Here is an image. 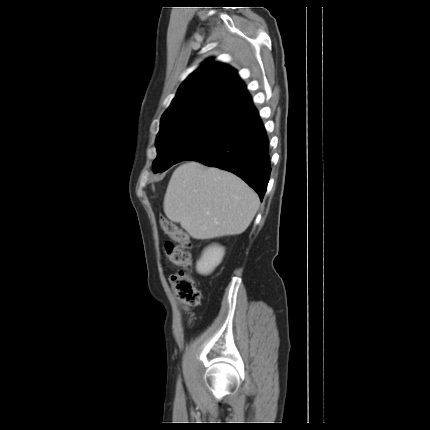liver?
I'll use <instances>...</instances> for the list:
<instances>
[{"instance_id": "1", "label": "liver", "mask_w": 430, "mask_h": 430, "mask_svg": "<svg viewBox=\"0 0 430 430\" xmlns=\"http://www.w3.org/2000/svg\"><path fill=\"white\" fill-rule=\"evenodd\" d=\"M163 204L169 220L203 240L243 233L260 200L237 175L190 161L173 172Z\"/></svg>"}]
</instances>
